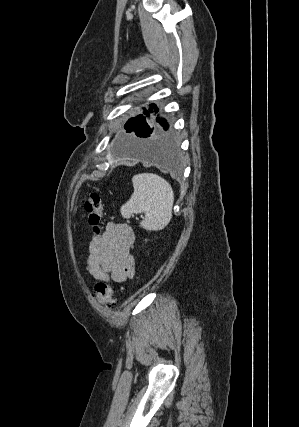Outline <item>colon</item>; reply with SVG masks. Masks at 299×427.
<instances>
[{"label":"colon","instance_id":"colon-1","mask_svg":"<svg viewBox=\"0 0 299 427\" xmlns=\"http://www.w3.org/2000/svg\"><path fill=\"white\" fill-rule=\"evenodd\" d=\"M82 205L87 213L88 222L93 227V232L99 235V223L103 214V203L100 195L95 192L87 193ZM94 293L97 301L101 304L112 306L117 301L112 287L106 282H98Z\"/></svg>","mask_w":299,"mask_h":427}]
</instances>
